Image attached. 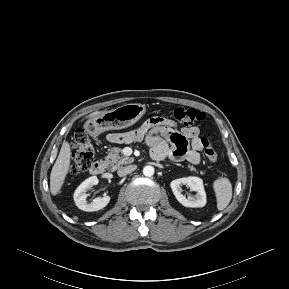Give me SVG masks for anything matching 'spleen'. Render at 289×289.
<instances>
[{"mask_svg": "<svg viewBox=\"0 0 289 289\" xmlns=\"http://www.w3.org/2000/svg\"><path fill=\"white\" fill-rule=\"evenodd\" d=\"M213 189L216 195L217 209L224 210L232 198V184L226 177H219L213 182Z\"/></svg>", "mask_w": 289, "mask_h": 289, "instance_id": "1", "label": "spleen"}]
</instances>
